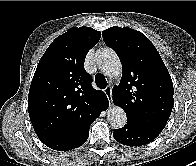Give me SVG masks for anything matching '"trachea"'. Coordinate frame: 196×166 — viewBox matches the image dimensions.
<instances>
[{
	"label": "trachea",
	"instance_id": "obj_1",
	"mask_svg": "<svg viewBox=\"0 0 196 166\" xmlns=\"http://www.w3.org/2000/svg\"><path fill=\"white\" fill-rule=\"evenodd\" d=\"M95 82H96V85L101 89H103L107 86V81H106L105 77L100 73L96 74Z\"/></svg>",
	"mask_w": 196,
	"mask_h": 166
}]
</instances>
